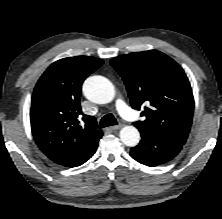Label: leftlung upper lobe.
<instances>
[{"label":"left lung upper lobe","instance_id":"1","mask_svg":"<svg viewBox=\"0 0 222 219\" xmlns=\"http://www.w3.org/2000/svg\"><path fill=\"white\" fill-rule=\"evenodd\" d=\"M110 64L124 80L132 107L140 110L146 105L141 113L144 121L134 122V126L184 145L194 99L183 69L156 50L121 55Z\"/></svg>","mask_w":222,"mask_h":219}]
</instances>
